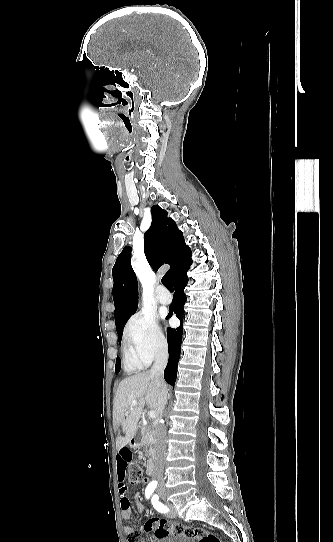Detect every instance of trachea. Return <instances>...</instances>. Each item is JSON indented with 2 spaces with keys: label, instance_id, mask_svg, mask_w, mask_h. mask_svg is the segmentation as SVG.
Returning <instances> with one entry per match:
<instances>
[{
  "label": "trachea",
  "instance_id": "trachea-1",
  "mask_svg": "<svg viewBox=\"0 0 333 542\" xmlns=\"http://www.w3.org/2000/svg\"><path fill=\"white\" fill-rule=\"evenodd\" d=\"M162 283L168 289H173V285H172V282H171V279H170L169 275H164V277L162 278Z\"/></svg>",
  "mask_w": 333,
  "mask_h": 542
}]
</instances>
